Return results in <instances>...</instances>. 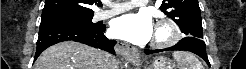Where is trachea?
Returning <instances> with one entry per match:
<instances>
[{
	"label": "trachea",
	"mask_w": 246,
	"mask_h": 69,
	"mask_svg": "<svg viewBox=\"0 0 246 69\" xmlns=\"http://www.w3.org/2000/svg\"><path fill=\"white\" fill-rule=\"evenodd\" d=\"M98 5H99V6H102V4H101V3H99Z\"/></svg>",
	"instance_id": "3493384b"
}]
</instances>
